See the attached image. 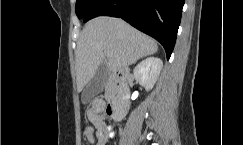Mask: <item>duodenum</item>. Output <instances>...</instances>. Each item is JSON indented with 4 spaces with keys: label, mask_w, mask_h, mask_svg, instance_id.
<instances>
[{
    "label": "duodenum",
    "mask_w": 243,
    "mask_h": 145,
    "mask_svg": "<svg viewBox=\"0 0 243 145\" xmlns=\"http://www.w3.org/2000/svg\"><path fill=\"white\" fill-rule=\"evenodd\" d=\"M128 72L122 69L112 74L114 81V92L107 105V114L114 120H122L128 111L129 88L127 86Z\"/></svg>",
    "instance_id": "obj_1"
}]
</instances>
